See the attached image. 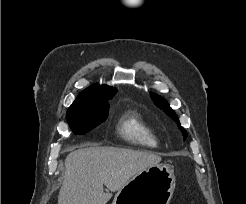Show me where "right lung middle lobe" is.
Listing matches in <instances>:
<instances>
[{
    "instance_id": "right-lung-middle-lobe-1",
    "label": "right lung middle lobe",
    "mask_w": 246,
    "mask_h": 204,
    "mask_svg": "<svg viewBox=\"0 0 246 204\" xmlns=\"http://www.w3.org/2000/svg\"><path fill=\"white\" fill-rule=\"evenodd\" d=\"M111 97L95 98L84 105L69 107L66 118L75 134H85L108 117L107 102Z\"/></svg>"
}]
</instances>
